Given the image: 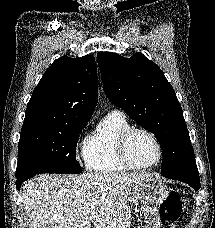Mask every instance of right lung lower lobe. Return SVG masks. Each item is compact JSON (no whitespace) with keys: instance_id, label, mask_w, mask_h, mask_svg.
<instances>
[{"instance_id":"obj_1","label":"right lung lower lobe","mask_w":215,"mask_h":228,"mask_svg":"<svg viewBox=\"0 0 215 228\" xmlns=\"http://www.w3.org/2000/svg\"><path fill=\"white\" fill-rule=\"evenodd\" d=\"M33 176H35V175H28V176H21V177H19V178L17 179V181H16V187H17V189L20 190V187H21L22 183H23L25 180H27V179H29V178H31V177H33Z\"/></svg>"}]
</instances>
